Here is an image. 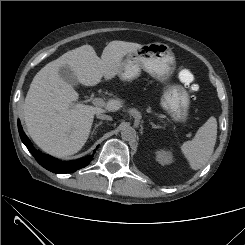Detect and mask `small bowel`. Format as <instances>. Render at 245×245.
Instances as JSON below:
<instances>
[{
	"instance_id": "c3829d8e",
	"label": "small bowel",
	"mask_w": 245,
	"mask_h": 245,
	"mask_svg": "<svg viewBox=\"0 0 245 245\" xmlns=\"http://www.w3.org/2000/svg\"><path fill=\"white\" fill-rule=\"evenodd\" d=\"M178 78L183 83H190L193 80V75L188 69L180 68L178 71Z\"/></svg>"
}]
</instances>
